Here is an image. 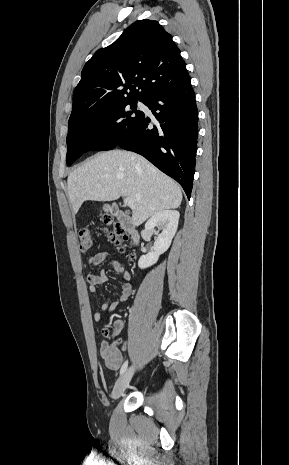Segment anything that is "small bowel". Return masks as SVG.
<instances>
[{"label": "small bowel", "instance_id": "obj_1", "mask_svg": "<svg viewBox=\"0 0 289 465\" xmlns=\"http://www.w3.org/2000/svg\"><path fill=\"white\" fill-rule=\"evenodd\" d=\"M114 255L115 253L112 251L103 250V251L98 252L97 254L90 255L88 257V263L92 267H97L104 261L108 259H112ZM112 266L117 273H120L122 275L123 284L121 286V292L117 299L109 303L104 302L101 304L100 310L95 312L94 314V320L96 322H101L102 320L101 311H107L108 313L113 312L120 303L128 299L132 291V283H131L132 276H131V273L126 269L125 265L115 259H112ZM86 279L89 284V292L91 294H95L97 291V287L103 284L107 280V276L104 271H100L99 273L90 272L87 275ZM122 328H123L122 322H116L113 328V334L114 335L119 334ZM100 355L102 359L104 360V362L106 363V365L109 368L114 369V370H117L123 361L122 353L118 349L115 350L113 346H111L107 340H103L101 343Z\"/></svg>", "mask_w": 289, "mask_h": 465}]
</instances>
